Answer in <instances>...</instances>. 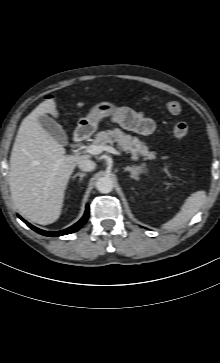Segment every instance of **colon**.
Wrapping results in <instances>:
<instances>
[{
	"label": "colon",
	"instance_id": "5ec220e1",
	"mask_svg": "<svg viewBox=\"0 0 220 363\" xmlns=\"http://www.w3.org/2000/svg\"><path fill=\"white\" fill-rule=\"evenodd\" d=\"M164 107L171 115H178L182 109L181 103L176 100L165 102ZM173 133L177 138L184 139L189 134V126L183 121H178L173 126Z\"/></svg>",
	"mask_w": 220,
	"mask_h": 363
}]
</instances>
